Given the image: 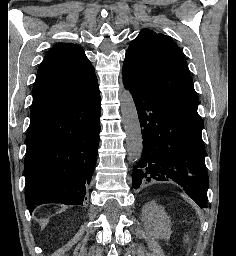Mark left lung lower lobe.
Wrapping results in <instances>:
<instances>
[{"label":"left lung lower lobe","instance_id":"left-lung-lower-lobe-1","mask_svg":"<svg viewBox=\"0 0 236 256\" xmlns=\"http://www.w3.org/2000/svg\"><path fill=\"white\" fill-rule=\"evenodd\" d=\"M123 83L133 96L143 138L142 156L132 174L133 187L172 180L200 207H207L209 178L203 120L197 110L130 80L123 78Z\"/></svg>","mask_w":236,"mask_h":256}]
</instances>
